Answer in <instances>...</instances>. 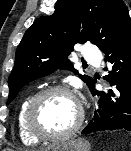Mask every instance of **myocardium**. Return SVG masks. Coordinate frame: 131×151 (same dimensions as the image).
<instances>
[{
    "mask_svg": "<svg viewBox=\"0 0 131 151\" xmlns=\"http://www.w3.org/2000/svg\"><path fill=\"white\" fill-rule=\"evenodd\" d=\"M63 93L74 100L77 106V118L74 124L66 131L60 134H46L39 131L35 124V114L40 102L50 94ZM85 117L83 104L75 92L66 85H51L37 92L30 100L24 117L25 127L28 133L39 141L58 142L74 135L82 126Z\"/></svg>",
    "mask_w": 131,
    "mask_h": 151,
    "instance_id": "obj_1",
    "label": "myocardium"
}]
</instances>
